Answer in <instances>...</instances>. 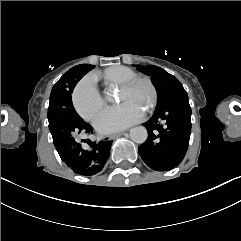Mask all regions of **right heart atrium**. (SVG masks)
Here are the masks:
<instances>
[{"label": "right heart atrium", "instance_id": "obj_1", "mask_svg": "<svg viewBox=\"0 0 241 241\" xmlns=\"http://www.w3.org/2000/svg\"><path fill=\"white\" fill-rule=\"evenodd\" d=\"M100 76L92 73L84 78L72 94V103L79 114L86 121H91L103 108L104 102L96 92L100 86Z\"/></svg>", "mask_w": 241, "mask_h": 241}]
</instances>
